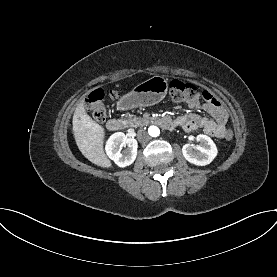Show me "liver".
Masks as SVG:
<instances>
[{
	"label": "liver",
	"instance_id": "obj_1",
	"mask_svg": "<svg viewBox=\"0 0 277 277\" xmlns=\"http://www.w3.org/2000/svg\"><path fill=\"white\" fill-rule=\"evenodd\" d=\"M72 124L75 141L81 153L97 166L112 167L103 148L104 128L87 114L84 101L76 107Z\"/></svg>",
	"mask_w": 277,
	"mask_h": 277
}]
</instances>
